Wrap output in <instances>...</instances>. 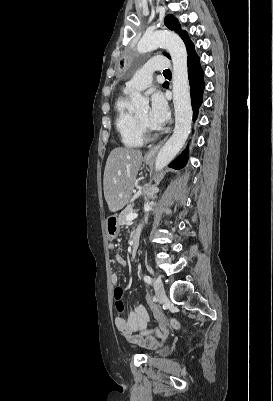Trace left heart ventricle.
I'll return each mask as SVG.
<instances>
[{
  "label": "left heart ventricle",
  "mask_w": 273,
  "mask_h": 401,
  "mask_svg": "<svg viewBox=\"0 0 273 401\" xmlns=\"http://www.w3.org/2000/svg\"><path fill=\"white\" fill-rule=\"evenodd\" d=\"M136 115L140 118V120H142L144 123H146L148 125L147 122V110H143L139 113H136Z\"/></svg>",
  "instance_id": "b2bd125f"
}]
</instances>
